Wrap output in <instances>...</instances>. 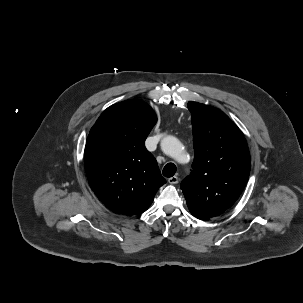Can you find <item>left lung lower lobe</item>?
I'll return each instance as SVG.
<instances>
[{"mask_svg":"<svg viewBox=\"0 0 303 303\" xmlns=\"http://www.w3.org/2000/svg\"><path fill=\"white\" fill-rule=\"evenodd\" d=\"M192 215L195 216L198 219H201V220H208L209 219V217H207L206 215H203V214L192 213Z\"/></svg>","mask_w":303,"mask_h":303,"instance_id":"0a47b994","label":"left lung lower lobe"}]
</instances>
